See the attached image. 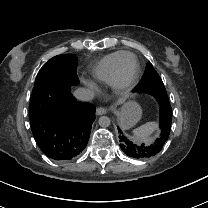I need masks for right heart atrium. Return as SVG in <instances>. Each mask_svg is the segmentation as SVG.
<instances>
[{"label":"right heart atrium","instance_id":"1","mask_svg":"<svg viewBox=\"0 0 208 208\" xmlns=\"http://www.w3.org/2000/svg\"><path fill=\"white\" fill-rule=\"evenodd\" d=\"M84 84L87 86L89 91L92 93V95L96 96L100 93L99 88L89 79H83Z\"/></svg>","mask_w":208,"mask_h":208}]
</instances>
